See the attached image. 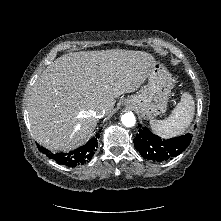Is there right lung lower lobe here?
Listing matches in <instances>:
<instances>
[{
	"label": "right lung lower lobe",
	"mask_w": 221,
	"mask_h": 221,
	"mask_svg": "<svg viewBox=\"0 0 221 221\" xmlns=\"http://www.w3.org/2000/svg\"><path fill=\"white\" fill-rule=\"evenodd\" d=\"M100 137V134L97 133L94 138L88 141L84 146H81L77 148L74 151H71L69 153H57V154H51L48 152L47 149L38 146V149L40 152L46 154L49 158L55 160L59 164L66 165L68 167H75L77 165H82L88 160L92 158L94 155L97 147H98V139Z\"/></svg>",
	"instance_id": "98d812e1"
}]
</instances>
